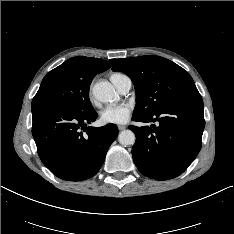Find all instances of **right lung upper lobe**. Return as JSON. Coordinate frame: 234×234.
Segmentation results:
<instances>
[{
    "label": "right lung upper lobe",
    "mask_w": 234,
    "mask_h": 234,
    "mask_svg": "<svg viewBox=\"0 0 234 234\" xmlns=\"http://www.w3.org/2000/svg\"><path fill=\"white\" fill-rule=\"evenodd\" d=\"M114 60L105 61L98 58L77 56L67 60V63H70L82 75L95 77L98 73L109 69Z\"/></svg>",
    "instance_id": "1"
}]
</instances>
